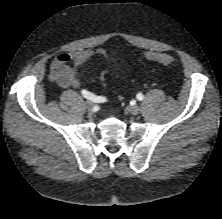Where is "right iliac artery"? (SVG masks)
Returning <instances> with one entry per match:
<instances>
[{"instance_id": "right-iliac-artery-1", "label": "right iliac artery", "mask_w": 222, "mask_h": 219, "mask_svg": "<svg viewBox=\"0 0 222 219\" xmlns=\"http://www.w3.org/2000/svg\"><path fill=\"white\" fill-rule=\"evenodd\" d=\"M81 94H82L85 98H87V99H89V100H92V101H95V102H104L105 99H106L105 97L96 96V95L88 92L87 90H82V91H81Z\"/></svg>"}]
</instances>
